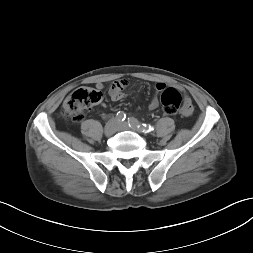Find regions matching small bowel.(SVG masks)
Listing matches in <instances>:
<instances>
[{
    "mask_svg": "<svg viewBox=\"0 0 253 253\" xmlns=\"http://www.w3.org/2000/svg\"><path fill=\"white\" fill-rule=\"evenodd\" d=\"M128 84V81L125 79H120L112 83L109 89V95L114 101L121 100L124 97L123 89L126 87ZM98 90H102L103 85L102 84H97L96 85ZM164 88H166V85L164 83H157L155 86V91L156 93H160ZM159 106V100L157 96L153 97L149 103V108L150 109H156ZM194 111V106L191 104V99L186 96L184 98V103L180 107V112L185 116V117H191L193 115Z\"/></svg>",
    "mask_w": 253,
    "mask_h": 253,
    "instance_id": "small-bowel-1",
    "label": "small bowel"
}]
</instances>
